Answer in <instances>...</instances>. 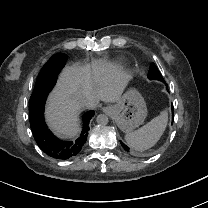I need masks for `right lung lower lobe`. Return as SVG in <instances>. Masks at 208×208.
Masks as SVG:
<instances>
[{"instance_id": "right-lung-lower-lobe-1", "label": "right lung lower lobe", "mask_w": 208, "mask_h": 208, "mask_svg": "<svg viewBox=\"0 0 208 208\" xmlns=\"http://www.w3.org/2000/svg\"><path fill=\"white\" fill-rule=\"evenodd\" d=\"M65 61L66 59L63 57H52L46 62L38 75L29 103L30 126L35 141L44 153L59 160L69 159L80 152L87 140L89 121L95 113L94 111H88L84 114L82 133L74 142L58 139L47 128L44 121L45 101L48 93L54 87Z\"/></svg>"}]
</instances>
